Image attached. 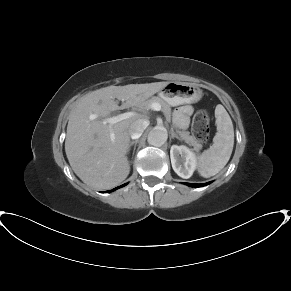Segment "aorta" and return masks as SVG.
<instances>
[{
  "mask_svg": "<svg viewBox=\"0 0 291 291\" xmlns=\"http://www.w3.org/2000/svg\"><path fill=\"white\" fill-rule=\"evenodd\" d=\"M168 138V133L164 127H155L148 134V143L150 145L160 147L165 144Z\"/></svg>",
  "mask_w": 291,
  "mask_h": 291,
  "instance_id": "obj_1",
  "label": "aorta"
}]
</instances>
